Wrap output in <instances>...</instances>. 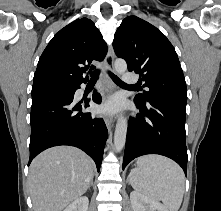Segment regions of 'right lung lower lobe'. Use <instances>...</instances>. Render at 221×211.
I'll return each instance as SVG.
<instances>
[{
    "label": "right lung lower lobe",
    "mask_w": 221,
    "mask_h": 211,
    "mask_svg": "<svg viewBox=\"0 0 221 211\" xmlns=\"http://www.w3.org/2000/svg\"><path fill=\"white\" fill-rule=\"evenodd\" d=\"M79 88L80 85L71 86L32 101L29 164L47 148L70 145L86 152L100 170L108 131L102 118L81 112L89 104L74 101V93ZM92 101L100 104V94L95 92Z\"/></svg>",
    "instance_id": "right-lung-lower-lobe-1"
}]
</instances>
